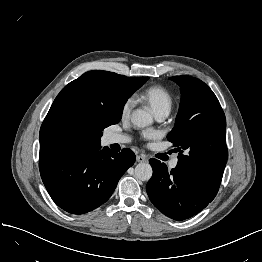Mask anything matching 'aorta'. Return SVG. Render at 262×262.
<instances>
[{
  "label": "aorta",
  "instance_id": "aorta-1",
  "mask_svg": "<svg viewBox=\"0 0 262 262\" xmlns=\"http://www.w3.org/2000/svg\"><path fill=\"white\" fill-rule=\"evenodd\" d=\"M131 122L134 126L144 128L152 124V115L142 109H136L131 115ZM152 167L149 163H139L135 167V177L141 181H148L152 177Z\"/></svg>",
  "mask_w": 262,
  "mask_h": 262
}]
</instances>
